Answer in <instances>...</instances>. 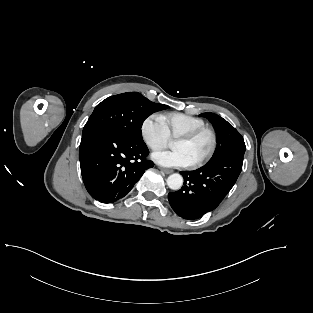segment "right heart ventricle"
I'll use <instances>...</instances> for the list:
<instances>
[{"mask_svg":"<svg viewBox=\"0 0 313 313\" xmlns=\"http://www.w3.org/2000/svg\"><path fill=\"white\" fill-rule=\"evenodd\" d=\"M160 116L171 138L206 126L203 119L188 114L172 112Z\"/></svg>","mask_w":313,"mask_h":313,"instance_id":"1","label":"right heart ventricle"}]
</instances>
